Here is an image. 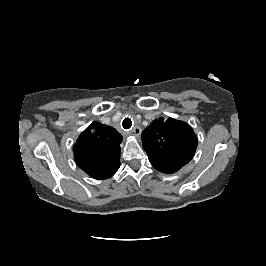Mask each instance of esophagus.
I'll use <instances>...</instances> for the list:
<instances>
[{
    "instance_id": "obj_1",
    "label": "esophagus",
    "mask_w": 266,
    "mask_h": 266,
    "mask_svg": "<svg viewBox=\"0 0 266 266\" xmlns=\"http://www.w3.org/2000/svg\"><path fill=\"white\" fill-rule=\"evenodd\" d=\"M142 132V129L138 126L134 127L131 131V133L135 136V137H140Z\"/></svg>"
}]
</instances>
